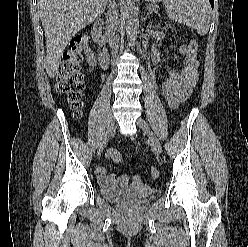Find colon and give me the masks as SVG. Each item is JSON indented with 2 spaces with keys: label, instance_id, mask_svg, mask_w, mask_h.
I'll return each instance as SVG.
<instances>
[{
  "label": "colon",
  "instance_id": "obj_1",
  "mask_svg": "<svg viewBox=\"0 0 248 247\" xmlns=\"http://www.w3.org/2000/svg\"><path fill=\"white\" fill-rule=\"evenodd\" d=\"M87 43V37L79 35L71 42L70 49L65 53L61 70L57 77L56 89L58 92L65 94L74 110L76 116L80 115L82 107V93L84 90L83 77L79 71V62L81 60L82 51ZM189 49L192 57H196L198 51V43L191 40ZM187 62L184 61L185 67ZM177 92V83L174 78L168 77L161 86V97L165 103L170 104ZM108 156L116 162H122L121 154L116 150H110ZM152 178L158 176L156 168H151Z\"/></svg>",
  "mask_w": 248,
  "mask_h": 247
}]
</instances>
